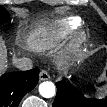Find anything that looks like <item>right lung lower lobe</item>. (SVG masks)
<instances>
[{"label":"right lung lower lobe","instance_id":"obj_1","mask_svg":"<svg viewBox=\"0 0 107 107\" xmlns=\"http://www.w3.org/2000/svg\"><path fill=\"white\" fill-rule=\"evenodd\" d=\"M39 69L6 73L0 77V107H18L23 96L37 84Z\"/></svg>","mask_w":107,"mask_h":107}]
</instances>
